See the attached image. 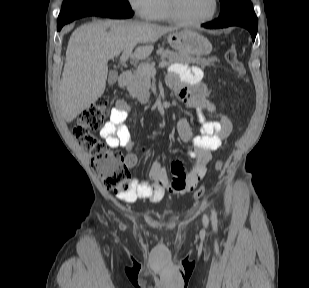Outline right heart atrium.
<instances>
[{"mask_svg":"<svg viewBox=\"0 0 309 288\" xmlns=\"http://www.w3.org/2000/svg\"><path fill=\"white\" fill-rule=\"evenodd\" d=\"M130 8L141 18L152 19L159 0H127Z\"/></svg>","mask_w":309,"mask_h":288,"instance_id":"1","label":"right heart atrium"}]
</instances>
